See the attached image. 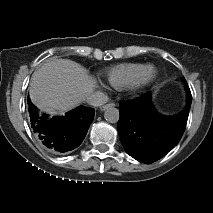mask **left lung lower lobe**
<instances>
[{"mask_svg":"<svg viewBox=\"0 0 213 213\" xmlns=\"http://www.w3.org/2000/svg\"><path fill=\"white\" fill-rule=\"evenodd\" d=\"M187 103L177 116L165 117L157 113L151 103V94L120 103L117 125L120 141L134 159L152 163L166 155L181 139L192 102L186 81Z\"/></svg>","mask_w":213,"mask_h":213,"instance_id":"1","label":"left lung lower lobe"}]
</instances>
